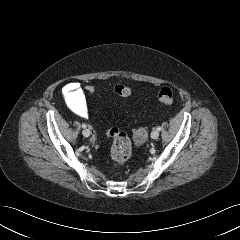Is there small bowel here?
I'll list each match as a JSON object with an SVG mask.
<instances>
[{
  "label": "small bowel",
  "mask_w": 240,
  "mask_h": 240,
  "mask_svg": "<svg viewBox=\"0 0 240 240\" xmlns=\"http://www.w3.org/2000/svg\"><path fill=\"white\" fill-rule=\"evenodd\" d=\"M63 95L69 108L81 117L88 116V107L83 88L75 82L67 84L63 88ZM148 132L146 128L139 127L133 131L134 143L139 146L147 140Z\"/></svg>",
  "instance_id": "c3829d8e"
}]
</instances>
